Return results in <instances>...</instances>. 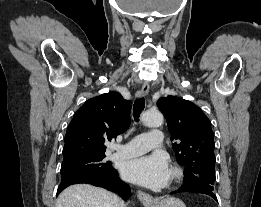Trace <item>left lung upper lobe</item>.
<instances>
[{"label":"left lung upper lobe","mask_w":261,"mask_h":207,"mask_svg":"<svg viewBox=\"0 0 261 207\" xmlns=\"http://www.w3.org/2000/svg\"><path fill=\"white\" fill-rule=\"evenodd\" d=\"M164 114L176 159L185 167L183 182L203 183L213 188L215 178L214 139L211 122L194 103L175 96L158 100Z\"/></svg>","instance_id":"obj_1"}]
</instances>
